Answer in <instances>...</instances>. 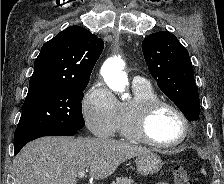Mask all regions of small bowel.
<instances>
[{
  "label": "small bowel",
  "mask_w": 224,
  "mask_h": 184,
  "mask_svg": "<svg viewBox=\"0 0 224 184\" xmlns=\"http://www.w3.org/2000/svg\"><path fill=\"white\" fill-rule=\"evenodd\" d=\"M157 184H169V183H167V182H160V183H157Z\"/></svg>",
  "instance_id": "1"
}]
</instances>
